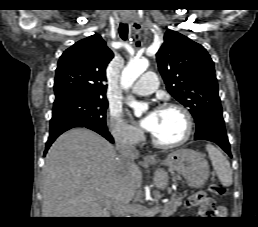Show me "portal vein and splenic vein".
<instances>
[{"instance_id":"1","label":"portal vein and splenic vein","mask_w":258,"mask_h":227,"mask_svg":"<svg viewBox=\"0 0 258 227\" xmlns=\"http://www.w3.org/2000/svg\"><path fill=\"white\" fill-rule=\"evenodd\" d=\"M115 208L119 211H122L124 209L128 210V211H133V212H142L143 209L145 207L141 206V205H128V206H124V205H116ZM153 208H158V206H155Z\"/></svg>"}]
</instances>
